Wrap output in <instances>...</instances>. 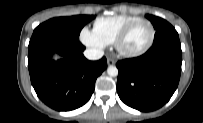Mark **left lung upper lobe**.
Wrapping results in <instances>:
<instances>
[{"label": "left lung upper lobe", "mask_w": 203, "mask_h": 123, "mask_svg": "<svg viewBox=\"0 0 203 123\" xmlns=\"http://www.w3.org/2000/svg\"><path fill=\"white\" fill-rule=\"evenodd\" d=\"M146 17L151 21L156 30L154 36V43L164 39L167 36L178 35L175 28L171 24H169L166 20L153 15H146Z\"/></svg>", "instance_id": "5c2ea615"}]
</instances>
